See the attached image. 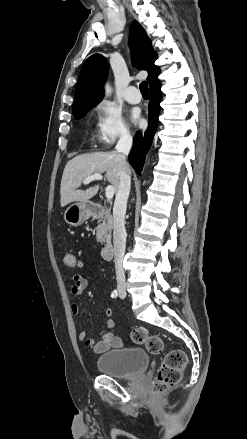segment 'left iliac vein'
I'll return each mask as SVG.
<instances>
[{"instance_id":"obj_1","label":"left iliac vein","mask_w":247,"mask_h":439,"mask_svg":"<svg viewBox=\"0 0 247 439\" xmlns=\"http://www.w3.org/2000/svg\"><path fill=\"white\" fill-rule=\"evenodd\" d=\"M125 296H126V293L124 292V293H120V297L121 298H125Z\"/></svg>"}]
</instances>
